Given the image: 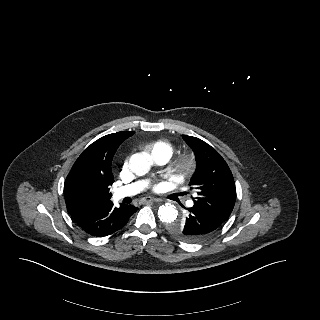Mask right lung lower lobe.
<instances>
[{
    "label": "right lung lower lobe",
    "mask_w": 320,
    "mask_h": 320,
    "mask_svg": "<svg viewBox=\"0 0 320 320\" xmlns=\"http://www.w3.org/2000/svg\"><path fill=\"white\" fill-rule=\"evenodd\" d=\"M138 210L133 205L120 204L114 207L111 201L71 213L76 224L86 233L104 237L124 227L129 218Z\"/></svg>",
    "instance_id": "1"
}]
</instances>
